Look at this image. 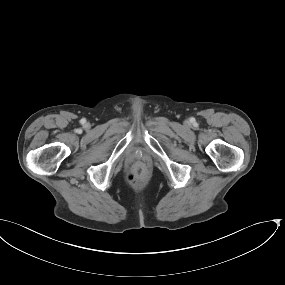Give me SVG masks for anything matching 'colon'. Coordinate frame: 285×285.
Returning a JSON list of instances; mask_svg holds the SVG:
<instances>
[{"label": "colon", "instance_id": "colon-1", "mask_svg": "<svg viewBox=\"0 0 285 285\" xmlns=\"http://www.w3.org/2000/svg\"><path fill=\"white\" fill-rule=\"evenodd\" d=\"M147 177V170L146 168L141 165V164H137L132 171L128 174V182L132 185V186H138L140 184H142Z\"/></svg>", "mask_w": 285, "mask_h": 285}]
</instances>
